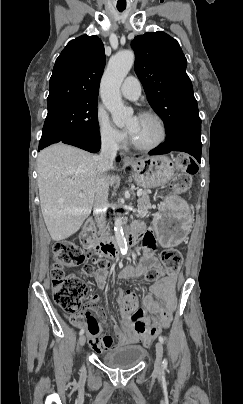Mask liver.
<instances>
[{
  "label": "liver",
  "instance_id": "1",
  "mask_svg": "<svg viewBox=\"0 0 243 404\" xmlns=\"http://www.w3.org/2000/svg\"><path fill=\"white\" fill-rule=\"evenodd\" d=\"M97 156L66 144L41 150L37 182L42 216L54 242L80 230L91 214L97 188ZM116 178H110L113 186ZM84 194V198H80Z\"/></svg>",
  "mask_w": 243,
  "mask_h": 404
}]
</instances>
